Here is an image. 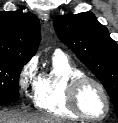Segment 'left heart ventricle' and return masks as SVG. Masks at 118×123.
I'll list each match as a JSON object with an SVG mask.
<instances>
[{
  "instance_id": "obj_1",
  "label": "left heart ventricle",
  "mask_w": 118,
  "mask_h": 123,
  "mask_svg": "<svg viewBox=\"0 0 118 123\" xmlns=\"http://www.w3.org/2000/svg\"><path fill=\"white\" fill-rule=\"evenodd\" d=\"M79 102L82 110L90 116H101L106 110L103 95L92 83H87L83 86L79 94Z\"/></svg>"
}]
</instances>
